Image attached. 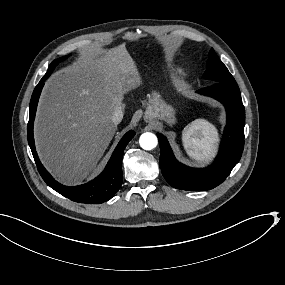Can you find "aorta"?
<instances>
[{"label":"aorta","mask_w":285,"mask_h":285,"mask_svg":"<svg viewBox=\"0 0 285 285\" xmlns=\"http://www.w3.org/2000/svg\"><path fill=\"white\" fill-rule=\"evenodd\" d=\"M139 142H140V146L144 150H152L158 144L157 137L153 133H149V132L142 134Z\"/></svg>","instance_id":"1"}]
</instances>
